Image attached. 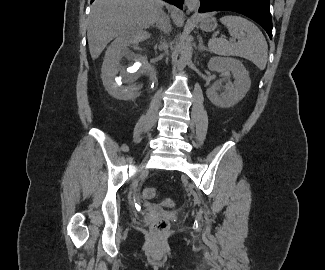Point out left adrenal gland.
Here are the masks:
<instances>
[{
  "mask_svg": "<svg viewBox=\"0 0 325 270\" xmlns=\"http://www.w3.org/2000/svg\"><path fill=\"white\" fill-rule=\"evenodd\" d=\"M199 51H208V49L204 46L203 40L201 37H199V45H198Z\"/></svg>",
  "mask_w": 325,
  "mask_h": 270,
  "instance_id": "left-adrenal-gland-1",
  "label": "left adrenal gland"
}]
</instances>
